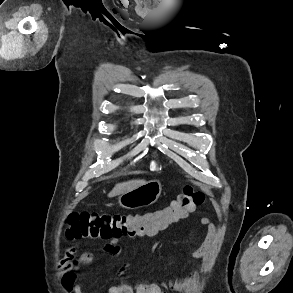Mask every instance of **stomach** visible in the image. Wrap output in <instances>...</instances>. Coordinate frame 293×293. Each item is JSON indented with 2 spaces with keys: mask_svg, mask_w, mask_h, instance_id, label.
Returning <instances> with one entry per match:
<instances>
[{
  "mask_svg": "<svg viewBox=\"0 0 293 293\" xmlns=\"http://www.w3.org/2000/svg\"><path fill=\"white\" fill-rule=\"evenodd\" d=\"M162 185L158 180L146 182L139 187L121 194L118 204L126 209H137L154 204L160 197Z\"/></svg>",
  "mask_w": 293,
  "mask_h": 293,
  "instance_id": "0dacf381",
  "label": "stomach"
}]
</instances>
